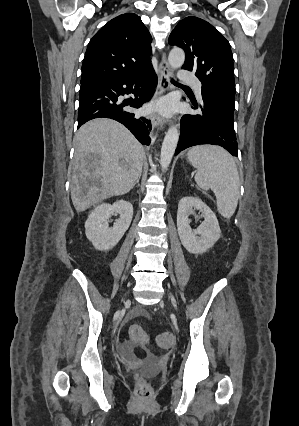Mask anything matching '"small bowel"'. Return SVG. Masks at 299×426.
Returning <instances> with one entry per match:
<instances>
[{
    "instance_id": "small-bowel-1",
    "label": "small bowel",
    "mask_w": 299,
    "mask_h": 426,
    "mask_svg": "<svg viewBox=\"0 0 299 426\" xmlns=\"http://www.w3.org/2000/svg\"><path fill=\"white\" fill-rule=\"evenodd\" d=\"M133 316H145L144 310L138 308L136 309ZM136 342L134 341H126L120 345V351L123 357L131 364H136L140 358L136 354Z\"/></svg>"
}]
</instances>
